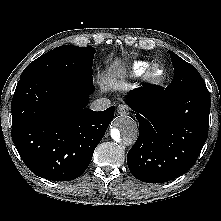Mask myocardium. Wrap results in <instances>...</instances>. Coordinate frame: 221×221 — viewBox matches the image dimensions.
I'll return each mask as SVG.
<instances>
[{
	"instance_id": "1",
	"label": "myocardium",
	"mask_w": 221,
	"mask_h": 221,
	"mask_svg": "<svg viewBox=\"0 0 221 221\" xmlns=\"http://www.w3.org/2000/svg\"><path fill=\"white\" fill-rule=\"evenodd\" d=\"M156 70H161V74L156 75L155 74ZM167 77L168 73L165 67L162 64L156 63L151 65L147 69V71L143 75V80L148 85L157 86L163 84L166 81Z\"/></svg>"
}]
</instances>
